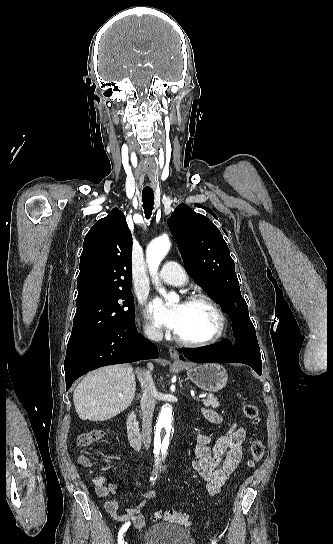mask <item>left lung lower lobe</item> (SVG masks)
Wrapping results in <instances>:
<instances>
[{"label": "left lung lower lobe", "instance_id": "0a47b994", "mask_svg": "<svg viewBox=\"0 0 333 544\" xmlns=\"http://www.w3.org/2000/svg\"><path fill=\"white\" fill-rule=\"evenodd\" d=\"M183 353L184 356H180L182 360L188 359L197 363L209 362L213 359L219 362H239L251 366L259 375L262 373V362L258 344L255 345V348H236L232 347L226 340H222L220 343L209 347L199 349L184 348Z\"/></svg>", "mask_w": 333, "mask_h": 544}]
</instances>
